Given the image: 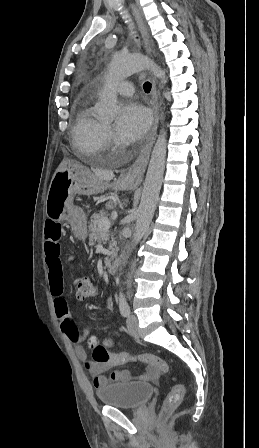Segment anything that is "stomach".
<instances>
[{"mask_svg":"<svg viewBox=\"0 0 259 448\" xmlns=\"http://www.w3.org/2000/svg\"><path fill=\"white\" fill-rule=\"evenodd\" d=\"M75 178L71 160H64V170H56L49 186L45 212L50 220L70 221L73 234L79 240L87 238V212L81 206H67L75 196Z\"/></svg>","mask_w":259,"mask_h":448,"instance_id":"0dacf381","label":"stomach"}]
</instances>
